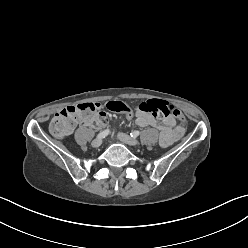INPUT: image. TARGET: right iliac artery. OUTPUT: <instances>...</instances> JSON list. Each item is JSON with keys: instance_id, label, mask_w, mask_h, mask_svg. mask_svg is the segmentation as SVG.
<instances>
[{"instance_id": "1", "label": "right iliac artery", "mask_w": 248, "mask_h": 248, "mask_svg": "<svg viewBox=\"0 0 248 248\" xmlns=\"http://www.w3.org/2000/svg\"><path fill=\"white\" fill-rule=\"evenodd\" d=\"M109 130L107 129V130H104V131H102V132H100L98 135H97V138H100V139H102V138H105L108 134H109Z\"/></svg>"}]
</instances>
